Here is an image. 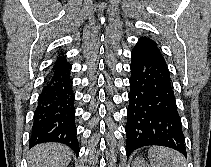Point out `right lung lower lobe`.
<instances>
[{
    "label": "right lung lower lobe",
    "mask_w": 211,
    "mask_h": 167,
    "mask_svg": "<svg viewBox=\"0 0 211 167\" xmlns=\"http://www.w3.org/2000/svg\"><path fill=\"white\" fill-rule=\"evenodd\" d=\"M70 70L71 65L65 58H58L52 65L34 112L30 148L40 143L59 142L79 154Z\"/></svg>",
    "instance_id": "obj_1"
}]
</instances>
